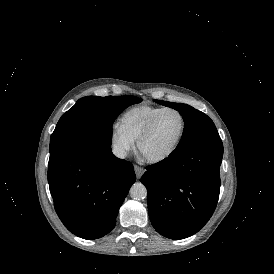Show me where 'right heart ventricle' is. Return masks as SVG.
<instances>
[{"label": "right heart ventricle", "mask_w": 274, "mask_h": 274, "mask_svg": "<svg viewBox=\"0 0 274 274\" xmlns=\"http://www.w3.org/2000/svg\"><path fill=\"white\" fill-rule=\"evenodd\" d=\"M162 109L148 104L131 107L120 116L119 128L129 139L135 141L148 122Z\"/></svg>", "instance_id": "e07e8e85"}]
</instances>
